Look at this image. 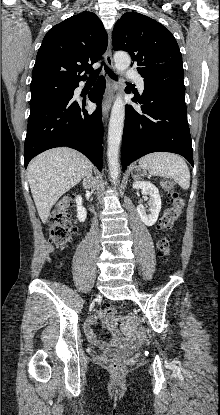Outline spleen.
<instances>
[{"label":"spleen","instance_id":"obj_1","mask_svg":"<svg viewBox=\"0 0 220 415\" xmlns=\"http://www.w3.org/2000/svg\"><path fill=\"white\" fill-rule=\"evenodd\" d=\"M139 166L148 170L151 175L173 178L184 190L190 186L189 168L178 155L166 152L151 153L139 160Z\"/></svg>","mask_w":220,"mask_h":415}]
</instances>
